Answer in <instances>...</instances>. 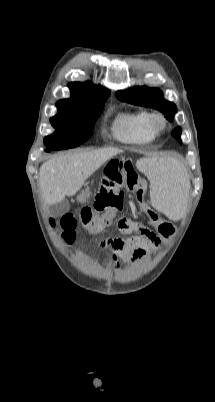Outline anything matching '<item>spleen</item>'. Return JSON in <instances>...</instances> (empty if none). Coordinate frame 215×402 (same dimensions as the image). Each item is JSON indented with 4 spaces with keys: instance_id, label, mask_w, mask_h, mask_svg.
Instances as JSON below:
<instances>
[{
    "instance_id": "spleen-1",
    "label": "spleen",
    "mask_w": 215,
    "mask_h": 402,
    "mask_svg": "<svg viewBox=\"0 0 215 402\" xmlns=\"http://www.w3.org/2000/svg\"><path fill=\"white\" fill-rule=\"evenodd\" d=\"M137 167L148 177L156 193L152 209L163 211L171 219L182 220L187 213L184 196L190 190L183 167L173 160L156 158L141 159Z\"/></svg>"
}]
</instances>
